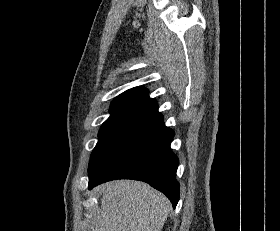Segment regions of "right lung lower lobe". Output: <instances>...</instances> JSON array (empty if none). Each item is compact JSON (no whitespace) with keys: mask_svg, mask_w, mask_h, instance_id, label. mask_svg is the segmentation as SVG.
Returning a JSON list of instances; mask_svg holds the SVG:
<instances>
[{"mask_svg":"<svg viewBox=\"0 0 280 231\" xmlns=\"http://www.w3.org/2000/svg\"><path fill=\"white\" fill-rule=\"evenodd\" d=\"M173 137L162 116L124 131L90 161L88 189L114 179L140 180L164 193L175 208L180 187L179 160L170 148Z\"/></svg>","mask_w":280,"mask_h":231,"instance_id":"obj_1","label":"right lung lower lobe"}]
</instances>
